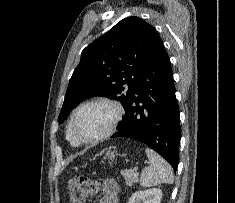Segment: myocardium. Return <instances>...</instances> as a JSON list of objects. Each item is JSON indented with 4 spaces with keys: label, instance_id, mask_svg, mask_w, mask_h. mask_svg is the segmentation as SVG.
Here are the masks:
<instances>
[{
    "label": "myocardium",
    "instance_id": "1",
    "mask_svg": "<svg viewBox=\"0 0 235 203\" xmlns=\"http://www.w3.org/2000/svg\"><path fill=\"white\" fill-rule=\"evenodd\" d=\"M94 103H106V104L112 106L115 114H114V118H113V121H112L110 127L108 128V130L105 133H103L102 135H100L96 138H93V139H86L79 134L77 127H76V121H77V117H78L79 112L87 105L94 104ZM123 116H124V108L119 101L114 100L109 97H95V98H92L90 100L83 102L82 104H80L76 108V110L74 111V113L71 117V130H72L74 136L76 137V139L80 143L96 144V143H99V142L109 138L111 135H113L115 133Z\"/></svg>",
    "mask_w": 235,
    "mask_h": 203
}]
</instances>
